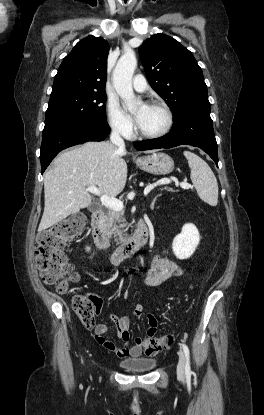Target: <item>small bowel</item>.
<instances>
[{"label":"small bowel","instance_id":"1","mask_svg":"<svg viewBox=\"0 0 264 415\" xmlns=\"http://www.w3.org/2000/svg\"><path fill=\"white\" fill-rule=\"evenodd\" d=\"M149 263L148 270L143 274V283L146 286H157L164 283L169 278L177 274L176 263L173 259L162 256L149 255L147 257ZM99 309L101 308V302L98 301ZM145 311V305L142 302L135 303L133 307L132 317H137L143 314ZM110 319H114L112 314L109 315ZM148 322V334L153 335L157 331V319L153 315H148L146 317ZM131 317H125L122 319H115V329L118 336L123 341L129 340V325ZM109 327L106 324H98L95 327L94 335L97 343L110 350L114 353L127 357V358H138L142 354V350L145 348L143 340L136 338V341L133 345L126 348L117 347L112 341L107 340L104 337V334L107 333Z\"/></svg>","mask_w":264,"mask_h":415}]
</instances>
